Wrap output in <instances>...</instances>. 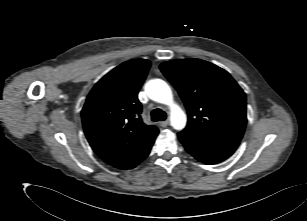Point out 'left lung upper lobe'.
Masks as SVG:
<instances>
[{
	"label": "left lung upper lobe",
	"mask_w": 307,
	"mask_h": 221,
	"mask_svg": "<svg viewBox=\"0 0 307 221\" xmlns=\"http://www.w3.org/2000/svg\"><path fill=\"white\" fill-rule=\"evenodd\" d=\"M188 111L184 131L240 142L246 127V96L224 69L200 59L160 65Z\"/></svg>",
	"instance_id": "1"
}]
</instances>
